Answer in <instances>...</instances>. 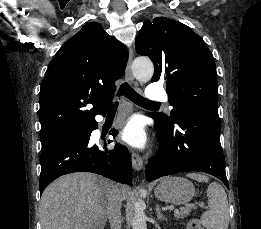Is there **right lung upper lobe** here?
I'll use <instances>...</instances> for the list:
<instances>
[{"label":"right lung upper lobe","mask_w":261,"mask_h":229,"mask_svg":"<svg viewBox=\"0 0 261 229\" xmlns=\"http://www.w3.org/2000/svg\"><path fill=\"white\" fill-rule=\"evenodd\" d=\"M127 60L121 42L99 23L86 24L48 66L40 89V133L55 132L56 143L88 129L110 104L114 82L123 75ZM88 104L93 108L87 109Z\"/></svg>","instance_id":"1"}]
</instances>
